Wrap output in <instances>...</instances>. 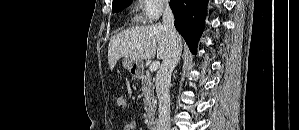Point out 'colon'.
Here are the masks:
<instances>
[{
    "label": "colon",
    "instance_id": "obj_1",
    "mask_svg": "<svg viewBox=\"0 0 299 130\" xmlns=\"http://www.w3.org/2000/svg\"><path fill=\"white\" fill-rule=\"evenodd\" d=\"M117 105L120 108H125L127 106V99L124 95H119L117 97Z\"/></svg>",
    "mask_w": 299,
    "mask_h": 130
}]
</instances>
